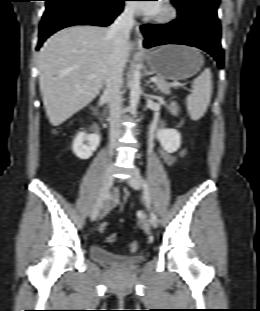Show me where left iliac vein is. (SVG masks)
Segmentation results:
<instances>
[{"label": "left iliac vein", "mask_w": 260, "mask_h": 311, "mask_svg": "<svg viewBox=\"0 0 260 311\" xmlns=\"http://www.w3.org/2000/svg\"><path fill=\"white\" fill-rule=\"evenodd\" d=\"M128 182L130 186L135 190H139L141 188V179L138 170H133L131 177L128 179ZM149 223L153 228H156L158 226L157 215L152 210L149 214Z\"/></svg>", "instance_id": "obj_1"}]
</instances>
